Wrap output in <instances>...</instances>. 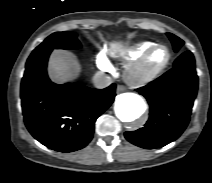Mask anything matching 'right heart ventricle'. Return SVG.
<instances>
[{
  "instance_id": "right-heart-ventricle-1",
  "label": "right heart ventricle",
  "mask_w": 212,
  "mask_h": 183,
  "mask_svg": "<svg viewBox=\"0 0 212 183\" xmlns=\"http://www.w3.org/2000/svg\"><path fill=\"white\" fill-rule=\"evenodd\" d=\"M155 44L156 43L152 41L140 42L125 50H111L108 52V56L115 59H120L123 62H132Z\"/></svg>"
}]
</instances>
